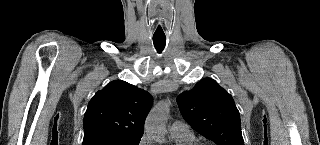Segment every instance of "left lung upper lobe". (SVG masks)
<instances>
[{"label": "left lung upper lobe", "instance_id": "obj_1", "mask_svg": "<svg viewBox=\"0 0 320 145\" xmlns=\"http://www.w3.org/2000/svg\"><path fill=\"white\" fill-rule=\"evenodd\" d=\"M177 103L184 119L217 145H244L240 114L231 95L211 79L181 93Z\"/></svg>", "mask_w": 320, "mask_h": 145}]
</instances>
